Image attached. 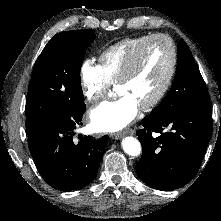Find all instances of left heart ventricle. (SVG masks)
<instances>
[{"mask_svg": "<svg viewBox=\"0 0 221 221\" xmlns=\"http://www.w3.org/2000/svg\"><path fill=\"white\" fill-rule=\"evenodd\" d=\"M171 62L167 41L156 40L145 49L136 74L126 83L117 86L120 95L131 97L141 107L150 101L164 83Z\"/></svg>", "mask_w": 221, "mask_h": 221, "instance_id": "obj_1", "label": "left heart ventricle"}]
</instances>
